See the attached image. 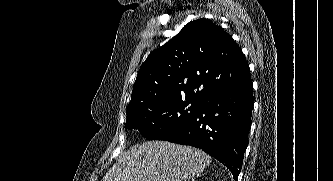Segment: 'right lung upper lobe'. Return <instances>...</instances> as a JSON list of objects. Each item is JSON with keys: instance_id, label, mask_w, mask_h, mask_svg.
Wrapping results in <instances>:
<instances>
[{"instance_id": "1", "label": "right lung upper lobe", "mask_w": 333, "mask_h": 181, "mask_svg": "<svg viewBox=\"0 0 333 181\" xmlns=\"http://www.w3.org/2000/svg\"><path fill=\"white\" fill-rule=\"evenodd\" d=\"M250 78L248 63L233 38L209 19H198L147 57L139 69L127 112L162 100L185 97L201 101Z\"/></svg>"}]
</instances>
